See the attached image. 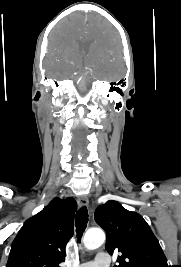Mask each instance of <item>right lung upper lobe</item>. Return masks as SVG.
I'll use <instances>...</instances> for the list:
<instances>
[{
  "label": "right lung upper lobe",
  "instance_id": "cb5924a9",
  "mask_svg": "<svg viewBox=\"0 0 181 267\" xmlns=\"http://www.w3.org/2000/svg\"><path fill=\"white\" fill-rule=\"evenodd\" d=\"M74 198L53 199L25 221L14 239L6 267H59L74 232Z\"/></svg>",
  "mask_w": 181,
  "mask_h": 267
}]
</instances>
